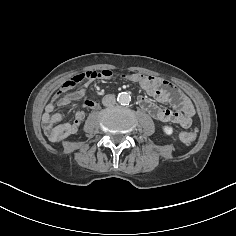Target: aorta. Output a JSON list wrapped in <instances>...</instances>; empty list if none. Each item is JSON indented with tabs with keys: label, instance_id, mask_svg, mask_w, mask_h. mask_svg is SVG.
<instances>
[{
	"label": "aorta",
	"instance_id": "1",
	"mask_svg": "<svg viewBox=\"0 0 236 236\" xmlns=\"http://www.w3.org/2000/svg\"><path fill=\"white\" fill-rule=\"evenodd\" d=\"M117 101L121 104V105H127L130 103L131 101V96L127 93V92H121L118 94L117 96Z\"/></svg>",
	"mask_w": 236,
	"mask_h": 236
}]
</instances>
